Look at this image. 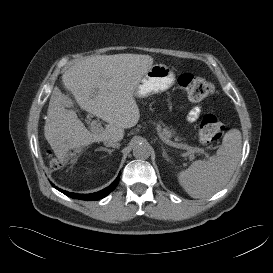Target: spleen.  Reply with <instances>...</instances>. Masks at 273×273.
Returning a JSON list of instances; mask_svg holds the SVG:
<instances>
[{
	"mask_svg": "<svg viewBox=\"0 0 273 273\" xmlns=\"http://www.w3.org/2000/svg\"><path fill=\"white\" fill-rule=\"evenodd\" d=\"M242 136L237 129L229 130L216 155L197 160L178 173L179 184L192 198H205L224 187L231 179L241 157Z\"/></svg>",
	"mask_w": 273,
	"mask_h": 273,
	"instance_id": "spleen-1",
	"label": "spleen"
}]
</instances>
